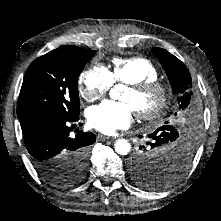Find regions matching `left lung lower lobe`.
Instances as JSON below:
<instances>
[{
  "instance_id": "left-lung-lower-lobe-1",
  "label": "left lung lower lobe",
  "mask_w": 221,
  "mask_h": 221,
  "mask_svg": "<svg viewBox=\"0 0 221 221\" xmlns=\"http://www.w3.org/2000/svg\"><path fill=\"white\" fill-rule=\"evenodd\" d=\"M191 130L192 132H195L198 130V123H193V125H191ZM177 132V131H175ZM161 135L165 136V138H172V134L174 133V131H166V130H162ZM138 163L137 159L135 157H131L130 161H129V167L131 166H136V164Z\"/></svg>"
}]
</instances>
